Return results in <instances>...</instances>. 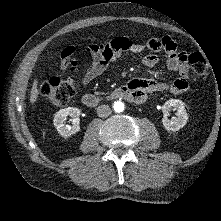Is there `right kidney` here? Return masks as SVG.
<instances>
[{
  "mask_svg": "<svg viewBox=\"0 0 221 221\" xmlns=\"http://www.w3.org/2000/svg\"><path fill=\"white\" fill-rule=\"evenodd\" d=\"M80 110L78 108L74 107H68L65 109L59 110L54 115V126L56 127L58 133L63 137H69L78 131H80ZM71 116L72 117V126L65 125L66 117Z\"/></svg>",
  "mask_w": 221,
  "mask_h": 221,
  "instance_id": "ca27d5eb",
  "label": "right kidney"
}]
</instances>
